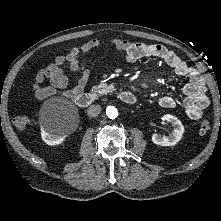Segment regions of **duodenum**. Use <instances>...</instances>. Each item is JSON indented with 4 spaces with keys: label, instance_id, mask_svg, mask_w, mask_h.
<instances>
[{
    "label": "duodenum",
    "instance_id": "410a0bca",
    "mask_svg": "<svg viewBox=\"0 0 221 221\" xmlns=\"http://www.w3.org/2000/svg\"><path fill=\"white\" fill-rule=\"evenodd\" d=\"M97 92H82L75 96L74 102L80 108H87L93 104L98 98ZM118 99L125 104H134L136 102L135 95L130 91H122L118 93Z\"/></svg>",
    "mask_w": 221,
    "mask_h": 221
}]
</instances>
